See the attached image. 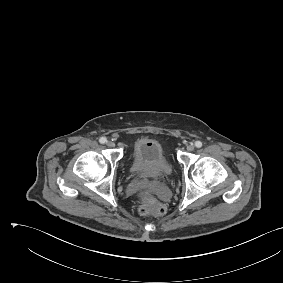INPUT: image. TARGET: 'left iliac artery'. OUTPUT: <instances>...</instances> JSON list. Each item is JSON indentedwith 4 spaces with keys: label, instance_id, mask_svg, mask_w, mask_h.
<instances>
[{
    "label": "left iliac artery",
    "instance_id": "obj_1",
    "mask_svg": "<svg viewBox=\"0 0 283 283\" xmlns=\"http://www.w3.org/2000/svg\"><path fill=\"white\" fill-rule=\"evenodd\" d=\"M195 146H196L197 148H201V147H202V142H201V141H196V142H195Z\"/></svg>",
    "mask_w": 283,
    "mask_h": 283
}]
</instances>
